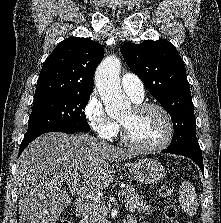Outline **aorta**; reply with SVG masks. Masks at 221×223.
Instances as JSON below:
<instances>
[{"instance_id": "762f6f07", "label": "aorta", "mask_w": 221, "mask_h": 223, "mask_svg": "<svg viewBox=\"0 0 221 223\" xmlns=\"http://www.w3.org/2000/svg\"><path fill=\"white\" fill-rule=\"evenodd\" d=\"M120 70V60L114 55L109 56L99 64L94 77L105 110L113 117L127 111L131 106L120 86Z\"/></svg>"}]
</instances>
